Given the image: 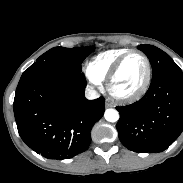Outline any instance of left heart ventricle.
Returning <instances> with one entry per match:
<instances>
[{
  "label": "left heart ventricle",
  "mask_w": 183,
  "mask_h": 183,
  "mask_svg": "<svg viewBox=\"0 0 183 183\" xmlns=\"http://www.w3.org/2000/svg\"><path fill=\"white\" fill-rule=\"evenodd\" d=\"M145 75L146 66L143 58L139 54H131L123 62L112 87L120 94L132 93L142 85Z\"/></svg>",
  "instance_id": "1"
}]
</instances>
